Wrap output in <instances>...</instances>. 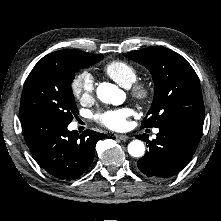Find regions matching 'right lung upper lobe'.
I'll return each instance as SVG.
<instances>
[{
	"instance_id": "obj_1",
	"label": "right lung upper lobe",
	"mask_w": 221,
	"mask_h": 221,
	"mask_svg": "<svg viewBox=\"0 0 221 221\" xmlns=\"http://www.w3.org/2000/svg\"><path fill=\"white\" fill-rule=\"evenodd\" d=\"M86 55H94V54H90L79 50H73V49L60 50L46 55L38 63H47V62L65 63L73 58L86 56Z\"/></svg>"
}]
</instances>
